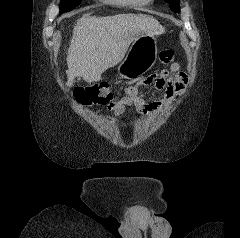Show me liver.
<instances>
[{
	"label": "liver",
	"mask_w": 240,
	"mask_h": 238,
	"mask_svg": "<svg viewBox=\"0 0 240 238\" xmlns=\"http://www.w3.org/2000/svg\"><path fill=\"white\" fill-rule=\"evenodd\" d=\"M164 32L155 18L145 14L81 17L68 49L66 85L71 87L75 77H82L87 83L100 81L107 69L122 61L137 37Z\"/></svg>",
	"instance_id": "obj_1"
}]
</instances>
